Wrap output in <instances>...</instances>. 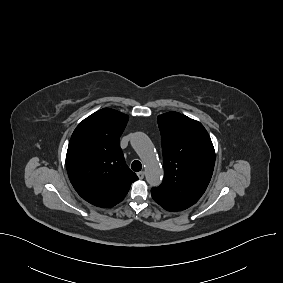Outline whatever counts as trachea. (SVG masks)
<instances>
[{
    "label": "trachea",
    "mask_w": 283,
    "mask_h": 283,
    "mask_svg": "<svg viewBox=\"0 0 283 283\" xmlns=\"http://www.w3.org/2000/svg\"><path fill=\"white\" fill-rule=\"evenodd\" d=\"M131 168L133 171L139 172L142 169V164L140 163V161L135 160L132 162Z\"/></svg>",
    "instance_id": "3493384b"
}]
</instances>
